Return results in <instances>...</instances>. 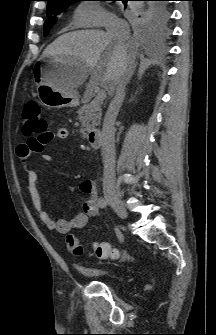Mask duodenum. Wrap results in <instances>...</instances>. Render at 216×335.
I'll return each instance as SVG.
<instances>
[{
  "label": "duodenum",
  "instance_id": "duodenum-1",
  "mask_svg": "<svg viewBox=\"0 0 216 335\" xmlns=\"http://www.w3.org/2000/svg\"><path fill=\"white\" fill-rule=\"evenodd\" d=\"M87 140L93 148L95 149L100 148L102 144L101 131L98 129L90 130L87 134Z\"/></svg>",
  "mask_w": 216,
  "mask_h": 335
}]
</instances>
